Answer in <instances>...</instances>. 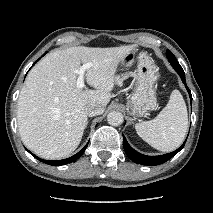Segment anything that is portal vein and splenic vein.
<instances>
[{
    "label": "portal vein and splenic vein",
    "instance_id": "1",
    "mask_svg": "<svg viewBox=\"0 0 213 213\" xmlns=\"http://www.w3.org/2000/svg\"><path fill=\"white\" fill-rule=\"evenodd\" d=\"M92 66V63H86L82 65L76 72L79 74L77 78L76 85L78 88L82 89L84 87V75H85V70L90 68Z\"/></svg>",
    "mask_w": 213,
    "mask_h": 213
}]
</instances>
